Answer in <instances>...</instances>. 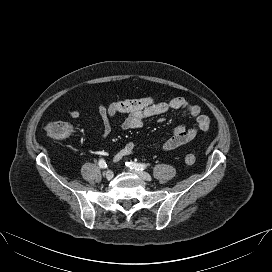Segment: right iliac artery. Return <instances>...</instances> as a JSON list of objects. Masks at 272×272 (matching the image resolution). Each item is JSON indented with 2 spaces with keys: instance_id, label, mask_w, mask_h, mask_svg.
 <instances>
[{
  "instance_id": "obj_1",
  "label": "right iliac artery",
  "mask_w": 272,
  "mask_h": 272,
  "mask_svg": "<svg viewBox=\"0 0 272 272\" xmlns=\"http://www.w3.org/2000/svg\"><path fill=\"white\" fill-rule=\"evenodd\" d=\"M98 164H99V167H100L101 169H104V168L107 167V164H106V162H105L104 159H100Z\"/></svg>"
}]
</instances>
